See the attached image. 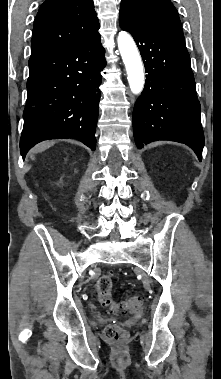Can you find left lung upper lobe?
Instances as JSON below:
<instances>
[{"label":"left lung upper lobe","mask_w":221,"mask_h":379,"mask_svg":"<svg viewBox=\"0 0 221 379\" xmlns=\"http://www.w3.org/2000/svg\"><path fill=\"white\" fill-rule=\"evenodd\" d=\"M121 7L129 8L152 28L184 36L178 12L170 0H122Z\"/></svg>","instance_id":"left-lung-upper-lobe-1"}]
</instances>
